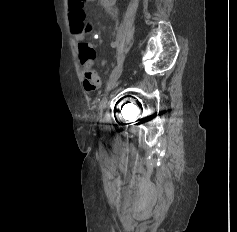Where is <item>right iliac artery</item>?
Masks as SVG:
<instances>
[{
  "instance_id": "1",
  "label": "right iliac artery",
  "mask_w": 237,
  "mask_h": 232,
  "mask_svg": "<svg viewBox=\"0 0 237 232\" xmlns=\"http://www.w3.org/2000/svg\"><path fill=\"white\" fill-rule=\"evenodd\" d=\"M118 46V43L117 42H111V47L115 48Z\"/></svg>"
}]
</instances>
